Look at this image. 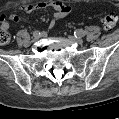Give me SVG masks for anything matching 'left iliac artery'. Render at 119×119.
Segmentation results:
<instances>
[{"mask_svg": "<svg viewBox=\"0 0 119 119\" xmlns=\"http://www.w3.org/2000/svg\"><path fill=\"white\" fill-rule=\"evenodd\" d=\"M87 34V32L83 29H77L74 31V35L76 38L84 37Z\"/></svg>", "mask_w": 119, "mask_h": 119, "instance_id": "left-iliac-artery-1", "label": "left iliac artery"}]
</instances>
